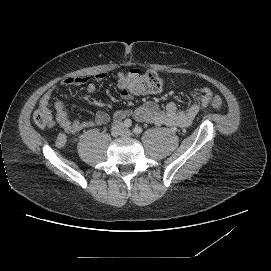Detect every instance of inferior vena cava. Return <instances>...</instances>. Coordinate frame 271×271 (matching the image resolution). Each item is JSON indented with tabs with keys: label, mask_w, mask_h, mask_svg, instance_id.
I'll use <instances>...</instances> for the list:
<instances>
[{
	"label": "inferior vena cava",
	"mask_w": 271,
	"mask_h": 271,
	"mask_svg": "<svg viewBox=\"0 0 271 271\" xmlns=\"http://www.w3.org/2000/svg\"><path fill=\"white\" fill-rule=\"evenodd\" d=\"M111 131L114 135L116 136H121L125 133L126 131V126L123 122L121 121H116L112 124L111 126Z\"/></svg>",
	"instance_id": "602c4592"
}]
</instances>
